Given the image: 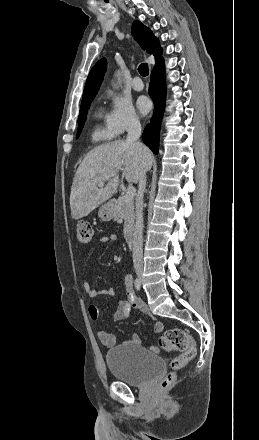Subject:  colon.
Wrapping results in <instances>:
<instances>
[{
  "instance_id": "colon-1",
  "label": "colon",
  "mask_w": 259,
  "mask_h": 440,
  "mask_svg": "<svg viewBox=\"0 0 259 440\" xmlns=\"http://www.w3.org/2000/svg\"><path fill=\"white\" fill-rule=\"evenodd\" d=\"M94 237L93 227L88 222H80L76 229V238L81 244H88ZM161 346L167 351H178L180 354L172 359V372L168 373L160 384L161 389L169 388L175 381L174 371L183 368L196 355L193 338L185 330L173 328L167 330L160 338Z\"/></svg>"
}]
</instances>
